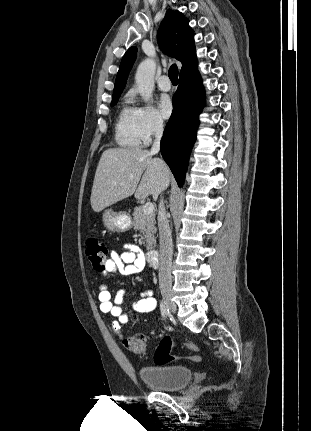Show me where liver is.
Here are the masks:
<instances>
[{"instance_id":"1","label":"liver","mask_w":311,"mask_h":431,"mask_svg":"<svg viewBox=\"0 0 311 431\" xmlns=\"http://www.w3.org/2000/svg\"><path fill=\"white\" fill-rule=\"evenodd\" d=\"M171 172L164 160L152 158L142 148H109L103 152L94 176L90 204L102 212L120 200L133 196L157 202L170 184Z\"/></svg>"}]
</instances>
